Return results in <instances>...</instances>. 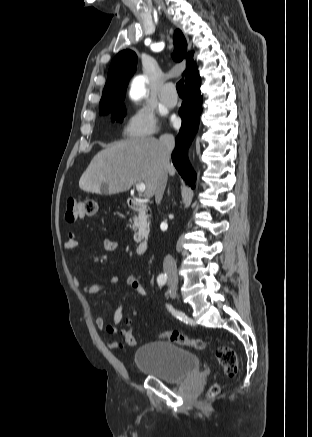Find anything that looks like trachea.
<instances>
[{"instance_id": "obj_1", "label": "trachea", "mask_w": 312, "mask_h": 437, "mask_svg": "<svg viewBox=\"0 0 312 437\" xmlns=\"http://www.w3.org/2000/svg\"><path fill=\"white\" fill-rule=\"evenodd\" d=\"M176 89L179 95H184V81L180 80L177 84H176Z\"/></svg>"}]
</instances>
